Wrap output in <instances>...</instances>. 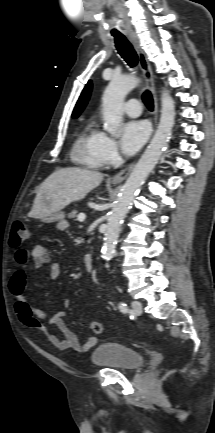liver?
Listing matches in <instances>:
<instances>
[{"instance_id": "6515ba94", "label": "liver", "mask_w": 215, "mask_h": 433, "mask_svg": "<svg viewBox=\"0 0 215 433\" xmlns=\"http://www.w3.org/2000/svg\"><path fill=\"white\" fill-rule=\"evenodd\" d=\"M102 180L103 174L97 171L79 167L58 169L38 187L29 216L42 219L71 202L82 200ZM44 196H48L49 205L43 202Z\"/></svg>"}]
</instances>
